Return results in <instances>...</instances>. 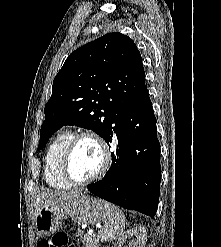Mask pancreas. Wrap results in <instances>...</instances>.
I'll return each mask as SVG.
<instances>
[{
  "instance_id": "1",
  "label": "pancreas",
  "mask_w": 221,
  "mask_h": 247,
  "mask_svg": "<svg viewBox=\"0 0 221 247\" xmlns=\"http://www.w3.org/2000/svg\"><path fill=\"white\" fill-rule=\"evenodd\" d=\"M78 234L82 238V244L84 247H97L98 241L93 236H89L88 234H83V231L78 229Z\"/></svg>"
}]
</instances>
